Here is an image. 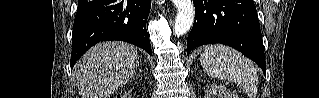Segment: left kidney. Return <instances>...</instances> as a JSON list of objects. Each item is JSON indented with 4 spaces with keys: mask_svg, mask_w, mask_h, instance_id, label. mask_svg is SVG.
Listing matches in <instances>:
<instances>
[{
    "mask_svg": "<svg viewBox=\"0 0 319 98\" xmlns=\"http://www.w3.org/2000/svg\"><path fill=\"white\" fill-rule=\"evenodd\" d=\"M205 98H238V95L221 84H213L207 88Z\"/></svg>",
    "mask_w": 319,
    "mask_h": 98,
    "instance_id": "1",
    "label": "left kidney"
}]
</instances>
